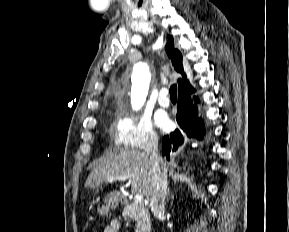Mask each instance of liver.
<instances>
[{
	"label": "liver",
	"mask_w": 289,
	"mask_h": 232,
	"mask_svg": "<svg viewBox=\"0 0 289 232\" xmlns=\"http://www.w3.org/2000/svg\"><path fill=\"white\" fill-rule=\"evenodd\" d=\"M111 176L129 177L133 191L146 198L151 196L153 167L146 153L121 149L117 154L104 158L91 171L85 185L91 189L102 187Z\"/></svg>",
	"instance_id": "liver-1"
}]
</instances>
